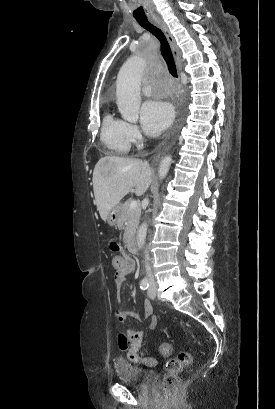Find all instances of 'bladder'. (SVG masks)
I'll return each instance as SVG.
<instances>
[{"instance_id":"31cf9c89","label":"bladder","mask_w":275,"mask_h":409,"mask_svg":"<svg viewBox=\"0 0 275 409\" xmlns=\"http://www.w3.org/2000/svg\"><path fill=\"white\" fill-rule=\"evenodd\" d=\"M116 380L121 384L131 385L135 388L148 387L157 378V372L137 366L128 361L119 362L116 365Z\"/></svg>"}]
</instances>
